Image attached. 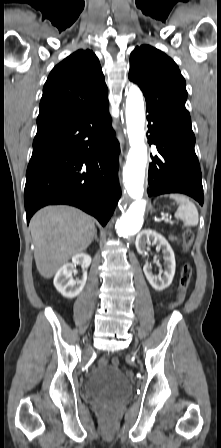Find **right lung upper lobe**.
Masks as SVG:
<instances>
[{"instance_id":"cb5924a9","label":"right lung upper lobe","mask_w":221,"mask_h":448,"mask_svg":"<svg viewBox=\"0 0 221 448\" xmlns=\"http://www.w3.org/2000/svg\"><path fill=\"white\" fill-rule=\"evenodd\" d=\"M97 56L80 49L56 65L43 88L38 130L44 131L107 100Z\"/></svg>"}]
</instances>
